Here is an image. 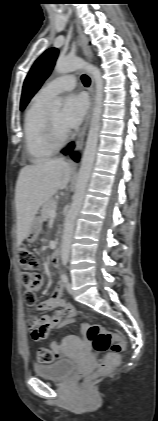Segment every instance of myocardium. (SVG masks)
<instances>
[{
  "instance_id": "obj_1",
  "label": "myocardium",
  "mask_w": 158,
  "mask_h": 421,
  "mask_svg": "<svg viewBox=\"0 0 158 421\" xmlns=\"http://www.w3.org/2000/svg\"><path fill=\"white\" fill-rule=\"evenodd\" d=\"M45 131L48 142L56 149L62 147L69 138V133L66 131L60 133L53 123L50 114H46Z\"/></svg>"
}]
</instances>
